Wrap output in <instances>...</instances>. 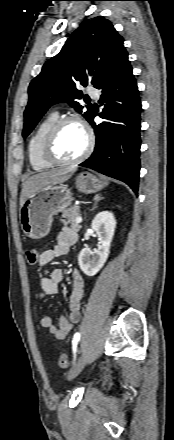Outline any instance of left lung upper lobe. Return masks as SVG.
<instances>
[{
	"label": "left lung upper lobe",
	"instance_id": "obj_1",
	"mask_svg": "<svg viewBox=\"0 0 174 440\" xmlns=\"http://www.w3.org/2000/svg\"><path fill=\"white\" fill-rule=\"evenodd\" d=\"M123 37L102 16L82 22L68 38L59 54L48 60L41 73L29 85V102L24 112L23 137H27L48 108L68 102L78 112L82 98L76 85L91 83L95 88L112 61L124 49ZM83 116L88 120L93 108Z\"/></svg>",
	"mask_w": 174,
	"mask_h": 440
}]
</instances>
